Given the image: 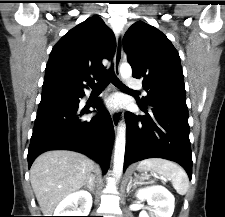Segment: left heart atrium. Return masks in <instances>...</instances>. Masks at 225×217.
<instances>
[{
    "label": "left heart atrium",
    "mask_w": 225,
    "mask_h": 217,
    "mask_svg": "<svg viewBox=\"0 0 225 217\" xmlns=\"http://www.w3.org/2000/svg\"><path fill=\"white\" fill-rule=\"evenodd\" d=\"M121 102L117 96H110L105 100V107L109 110H116L120 107Z\"/></svg>",
    "instance_id": "obj_1"
}]
</instances>
